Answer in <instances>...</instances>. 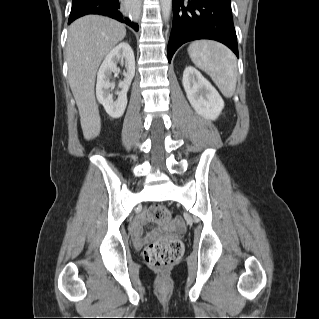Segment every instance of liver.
I'll list each match as a JSON object with an SVG mask.
<instances>
[{
    "label": "liver",
    "instance_id": "liver-1",
    "mask_svg": "<svg viewBox=\"0 0 319 319\" xmlns=\"http://www.w3.org/2000/svg\"><path fill=\"white\" fill-rule=\"evenodd\" d=\"M125 35L122 23L99 15L77 19L68 29V79L86 140L97 137L101 130L94 93L97 70L103 58Z\"/></svg>",
    "mask_w": 319,
    "mask_h": 319
}]
</instances>
